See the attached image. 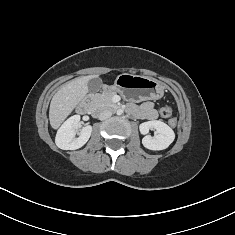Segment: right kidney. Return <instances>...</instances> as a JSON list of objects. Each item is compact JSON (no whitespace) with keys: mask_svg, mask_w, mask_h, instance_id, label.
<instances>
[{"mask_svg":"<svg viewBox=\"0 0 235 235\" xmlns=\"http://www.w3.org/2000/svg\"><path fill=\"white\" fill-rule=\"evenodd\" d=\"M79 115H74L67 119L56 135V145L63 150H75L81 148L89 140L92 132L91 126L83 127L79 132V137L76 138L78 132Z\"/></svg>","mask_w":235,"mask_h":235,"instance_id":"right-kidney-1","label":"right kidney"}]
</instances>
